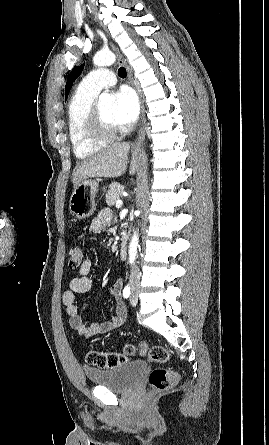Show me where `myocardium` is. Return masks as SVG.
Here are the masks:
<instances>
[{
    "label": "myocardium",
    "mask_w": 269,
    "mask_h": 445,
    "mask_svg": "<svg viewBox=\"0 0 269 445\" xmlns=\"http://www.w3.org/2000/svg\"><path fill=\"white\" fill-rule=\"evenodd\" d=\"M85 126L88 135L96 140H112L120 132L117 125L104 120L95 104L88 113Z\"/></svg>",
    "instance_id": "f54148a6"
}]
</instances>
